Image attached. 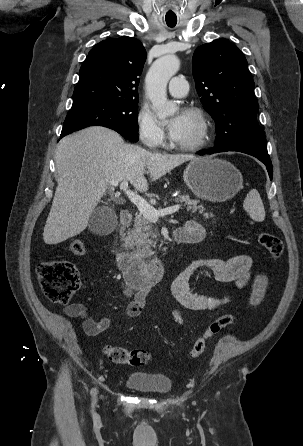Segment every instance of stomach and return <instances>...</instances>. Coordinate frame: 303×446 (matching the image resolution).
Segmentation results:
<instances>
[{"mask_svg":"<svg viewBox=\"0 0 303 446\" xmlns=\"http://www.w3.org/2000/svg\"><path fill=\"white\" fill-rule=\"evenodd\" d=\"M184 182L200 199L223 202L242 188L243 177L231 163L213 157L191 160L183 173Z\"/></svg>","mask_w":303,"mask_h":446,"instance_id":"stomach-1","label":"stomach"}]
</instances>
